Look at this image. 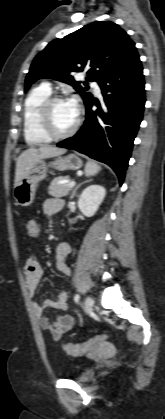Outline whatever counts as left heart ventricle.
I'll list each match as a JSON object with an SVG mask.
<instances>
[{"mask_svg": "<svg viewBox=\"0 0 165 419\" xmlns=\"http://www.w3.org/2000/svg\"><path fill=\"white\" fill-rule=\"evenodd\" d=\"M51 119L54 130L62 133L69 130L76 122L77 116L74 114L68 101L56 103L51 110Z\"/></svg>", "mask_w": 165, "mask_h": 419, "instance_id": "obj_1", "label": "left heart ventricle"}]
</instances>
